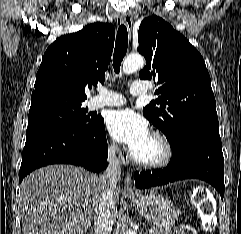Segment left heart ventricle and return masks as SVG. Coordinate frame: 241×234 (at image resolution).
<instances>
[{
  "label": "left heart ventricle",
  "mask_w": 241,
  "mask_h": 234,
  "mask_svg": "<svg viewBox=\"0 0 241 234\" xmlns=\"http://www.w3.org/2000/svg\"><path fill=\"white\" fill-rule=\"evenodd\" d=\"M162 154L160 143L151 135L146 143L133 155L143 161H153L158 159Z\"/></svg>",
  "instance_id": "left-heart-ventricle-1"
}]
</instances>
